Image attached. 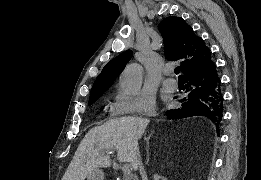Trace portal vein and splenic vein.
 I'll list each match as a JSON object with an SVG mask.
<instances>
[{"mask_svg": "<svg viewBox=\"0 0 261 180\" xmlns=\"http://www.w3.org/2000/svg\"><path fill=\"white\" fill-rule=\"evenodd\" d=\"M122 172H123V174H131L130 166H128V164H124V166L122 168Z\"/></svg>", "mask_w": 261, "mask_h": 180, "instance_id": "18ae733b", "label": "portal vein and splenic vein"}]
</instances>
